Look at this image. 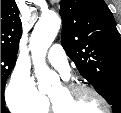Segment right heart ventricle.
I'll use <instances>...</instances> for the list:
<instances>
[{
  "label": "right heart ventricle",
  "instance_id": "e07e8e85",
  "mask_svg": "<svg viewBox=\"0 0 121 113\" xmlns=\"http://www.w3.org/2000/svg\"><path fill=\"white\" fill-rule=\"evenodd\" d=\"M48 109H49V107H48V105H47V103H46L42 111H46V110H48Z\"/></svg>",
  "mask_w": 121,
  "mask_h": 113
}]
</instances>
